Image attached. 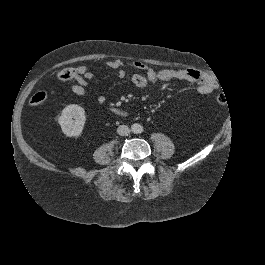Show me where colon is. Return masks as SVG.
<instances>
[{
  "instance_id": "colon-1",
  "label": "colon",
  "mask_w": 265,
  "mask_h": 265,
  "mask_svg": "<svg viewBox=\"0 0 265 265\" xmlns=\"http://www.w3.org/2000/svg\"><path fill=\"white\" fill-rule=\"evenodd\" d=\"M79 71H80L79 67H77V68H65V69H62L61 71L58 72L57 77L59 80L73 79L75 76L78 75ZM46 97H47V95L44 91H39L31 97L30 103L33 106H39L45 102ZM217 101L220 104H224L226 102L225 95L219 94L217 96Z\"/></svg>"
}]
</instances>
